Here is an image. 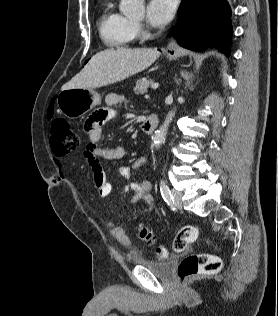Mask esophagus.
Segmentation results:
<instances>
[{
	"mask_svg": "<svg viewBox=\"0 0 278 316\" xmlns=\"http://www.w3.org/2000/svg\"><path fill=\"white\" fill-rule=\"evenodd\" d=\"M177 50H178L177 43L173 38H171L165 49V52L168 55H175L177 53Z\"/></svg>",
	"mask_w": 278,
	"mask_h": 316,
	"instance_id": "34e87169",
	"label": "esophagus"
}]
</instances>
